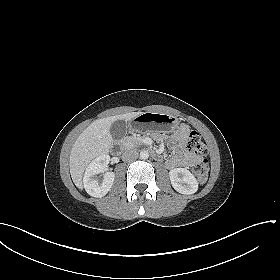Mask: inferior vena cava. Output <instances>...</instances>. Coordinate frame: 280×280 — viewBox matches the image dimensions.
<instances>
[{
  "instance_id": "602c4592",
  "label": "inferior vena cava",
  "mask_w": 280,
  "mask_h": 280,
  "mask_svg": "<svg viewBox=\"0 0 280 280\" xmlns=\"http://www.w3.org/2000/svg\"><path fill=\"white\" fill-rule=\"evenodd\" d=\"M138 152L136 150H126L123 154H122V160L125 162H130V161H134L138 158Z\"/></svg>"
}]
</instances>
